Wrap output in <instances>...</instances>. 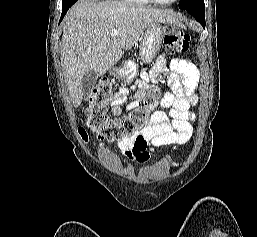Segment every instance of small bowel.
I'll use <instances>...</instances> for the list:
<instances>
[{"label":"small bowel","mask_w":257,"mask_h":237,"mask_svg":"<svg viewBox=\"0 0 257 237\" xmlns=\"http://www.w3.org/2000/svg\"><path fill=\"white\" fill-rule=\"evenodd\" d=\"M165 61L166 56L160 55L151 72L141 74L133 87L127 111L140 106L149 87L147 82L156 78ZM171 65L173 73L168 80L171 91L165 92L161 100V106L167 109V112L156 111L140 132L118 143L121 154L130 161L146 163L156 148L176 147L187 143L192 136L191 123L196 116L190 107L197 102L194 91L198 85L199 72L196 66L187 60L174 59ZM128 95L129 89L126 87L119 88L115 94L111 107L115 117L122 115V105Z\"/></svg>","instance_id":"small-bowel-1"}]
</instances>
